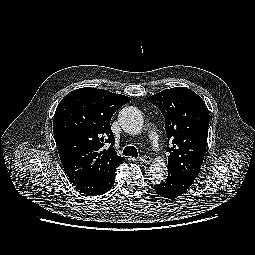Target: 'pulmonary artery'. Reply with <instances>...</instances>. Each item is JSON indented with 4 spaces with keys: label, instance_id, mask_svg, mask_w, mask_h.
<instances>
[{
    "label": "pulmonary artery",
    "instance_id": "pulmonary-artery-1",
    "mask_svg": "<svg viewBox=\"0 0 255 255\" xmlns=\"http://www.w3.org/2000/svg\"><path fill=\"white\" fill-rule=\"evenodd\" d=\"M149 139H150V141H151L152 143H154V144H157V143H158V138H157V135H156L155 132H151V133L149 134Z\"/></svg>",
    "mask_w": 255,
    "mask_h": 255
}]
</instances>
